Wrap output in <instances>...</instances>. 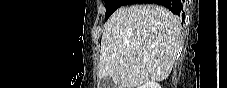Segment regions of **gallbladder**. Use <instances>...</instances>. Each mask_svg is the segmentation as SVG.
<instances>
[{
	"mask_svg": "<svg viewBox=\"0 0 227 88\" xmlns=\"http://www.w3.org/2000/svg\"><path fill=\"white\" fill-rule=\"evenodd\" d=\"M115 84L110 77H104L100 80V88H114Z\"/></svg>",
	"mask_w": 227,
	"mask_h": 88,
	"instance_id": "obj_1",
	"label": "gallbladder"
}]
</instances>
